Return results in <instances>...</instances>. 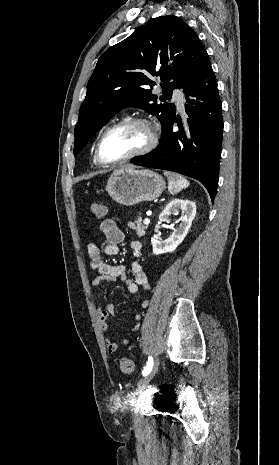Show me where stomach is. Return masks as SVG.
I'll return each instance as SVG.
<instances>
[{
	"label": "stomach",
	"mask_w": 279,
	"mask_h": 465,
	"mask_svg": "<svg viewBox=\"0 0 279 465\" xmlns=\"http://www.w3.org/2000/svg\"><path fill=\"white\" fill-rule=\"evenodd\" d=\"M165 188L161 175L149 169L122 167L115 170L106 184V191L117 203L132 206L158 198Z\"/></svg>",
	"instance_id": "1"
}]
</instances>
